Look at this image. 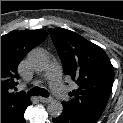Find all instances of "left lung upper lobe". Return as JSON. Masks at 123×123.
Returning a JSON list of instances; mask_svg holds the SVG:
<instances>
[{
  "label": "left lung upper lobe",
  "mask_w": 123,
  "mask_h": 123,
  "mask_svg": "<svg viewBox=\"0 0 123 123\" xmlns=\"http://www.w3.org/2000/svg\"><path fill=\"white\" fill-rule=\"evenodd\" d=\"M65 75L77 83L72 99L62 102L71 113L96 122L106 107L113 81V66L102 48L63 28L49 29Z\"/></svg>",
  "instance_id": "1"
}]
</instances>
